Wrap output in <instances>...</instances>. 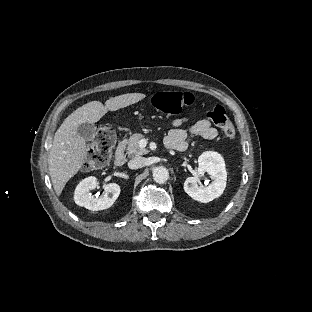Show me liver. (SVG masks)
<instances>
[{
	"label": "liver",
	"mask_w": 312,
	"mask_h": 312,
	"mask_svg": "<svg viewBox=\"0 0 312 312\" xmlns=\"http://www.w3.org/2000/svg\"><path fill=\"white\" fill-rule=\"evenodd\" d=\"M146 96L142 93H127L111 97L105 102L91 101L71 113L54 135L48 155V169L56 194L59 196L65 184L83 165L86 141L77 133L80 124L95 123L108 111H116L139 102Z\"/></svg>",
	"instance_id": "6515ba94"
}]
</instances>
